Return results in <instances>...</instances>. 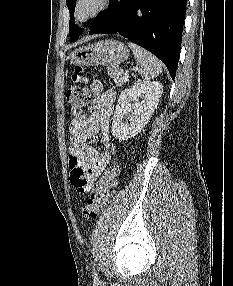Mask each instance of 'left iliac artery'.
Listing matches in <instances>:
<instances>
[{
    "mask_svg": "<svg viewBox=\"0 0 233 286\" xmlns=\"http://www.w3.org/2000/svg\"><path fill=\"white\" fill-rule=\"evenodd\" d=\"M93 273H94V275H95V279H97V275H96L95 269H94V272H93Z\"/></svg>",
    "mask_w": 233,
    "mask_h": 286,
    "instance_id": "left-iliac-artery-1",
    "label": "left iliac artery"
}]
</instances>
